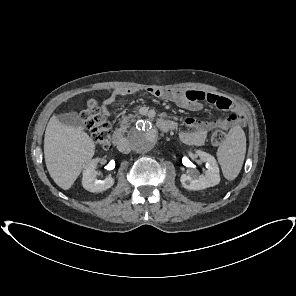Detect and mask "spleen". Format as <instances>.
I'll return each mask as SVG.
<instances>
[{
    "instance_id": "1",
    "label": "spleen",
    "mask_w": 296,
    "mask_h": 296,
    "mask_svg": "<svg viewBox=\"0 0 296 296\" xmlns=\"http://www.w3.org/2000/svg\"><path fill=\"white\" fill-rule=\"evenodd\" d=\"M245 153V133L240 126H234L229 130L227 139L217 150V159L227 180H234L238 176Z\"/></svg>"
}]
</instances>
